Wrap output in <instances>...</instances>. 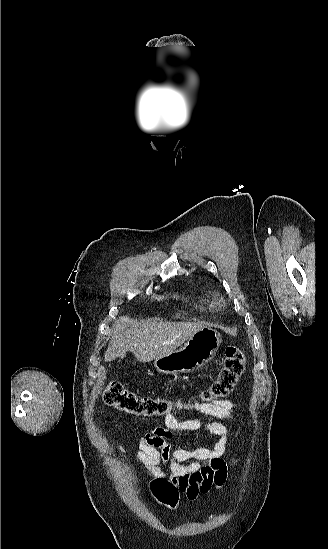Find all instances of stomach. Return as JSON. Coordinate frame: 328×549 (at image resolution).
Segmentation results:
<instances>
[{"label": "stomach", "mask_w": 328, "mask_h": 549, "mask_svg": "<svg viewBox=\"0 0 328 549\" xmlns=\"http://www.w3.org/2000/svg\"><path fill=\"white\" fill-rule=\"evenodd\" d=\"M221 343L222 339L218 331L212 327H202L184 343L181 349L155 359L154 367L166 375L193 373L196 369L205 367L215 357Z\"/></svg>", "instance_id": "1"}]
</instances>
